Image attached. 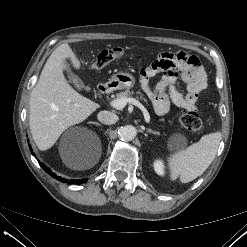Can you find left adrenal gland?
Wrapping results in <instances>:
<instances>
[{
    "label": "left adrenal gland",
    "mask_w": 247,
    "mask_h": 247,
    "mask_svg": "<svg viewBox=\"0 0 247 247\" xmlns=\"http://www.w3.org/2000/svg\"><path fill=\"white\" fill-rule=\"evenodd\" d=\"M147 132H148V133H151V134H154V135H159V132L154 131V130H152V129H147Z\"/></svg>",
    "instance_id": "left-adrenal-gland-1"
}]
</instances>
